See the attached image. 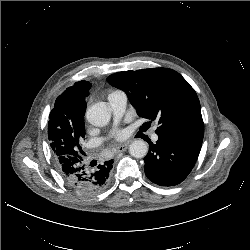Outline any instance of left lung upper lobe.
<instances>
[{
	"mask_svg": "<svg viewBox=\"0 0 250 250\" xmlns=\"http://www.w3.org/2000/svg\"><path fill=\"white\" fill-rule=\"evenodd\" d=\"M107 81L127 94L140 117L158 122V136L203 138L199 99L178 72L168 68L122 71Z\"/></svg>",
	"mask_w": 250,
	"mask_h": 250,
	"instance_id": "obj_1",
	"label": "left lung upper lobe"
}]
</instances>
